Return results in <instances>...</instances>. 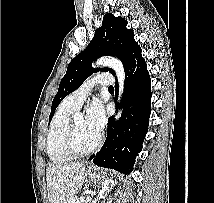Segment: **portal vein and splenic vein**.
<instances>
[{
    "instance_id": "obj_1",
    "label": "portal vein and splenic vein",
    "mask_w": 214,
    "mask_h": 203,
    "mask_svg": "<svg viewBox=\"0 0 214 203\" xmlns=\"http://www.w3.org/2000/svg\"><path fill=\"white\" fill-rule=\"evenodd\" d=\"M107 190V188H103L99 193H98V196L97 198H101L102 197V194L104 193V191ZM90 200V198L88 197L87 200L85 201V203H88V201ZM96 198L94 199V201L90 202V203H96ZM84 201V200H82Z\"/></svg>"
}]
</instances>
